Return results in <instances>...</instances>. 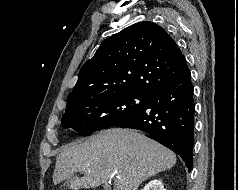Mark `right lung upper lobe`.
I'll return each instance as SVG.
<instances>
[{
    "label": "right lung upper lobe",
    "instance_id": "1",
    "mask_svg": "<svg viewBox=\"0 0 238 190\" xmlns=\"http://www.w3.org/2000/svg\"><path fill=\"white\" fill-rule=\"evenodd\" d=\"M187 68L184 55L162 27L139 22L107 38L82 66L67 108L83 96L134 93L150 97Z\"/></svg>",
    "mask_w": 238,
    "mask_h": 190
}]
</instances>
